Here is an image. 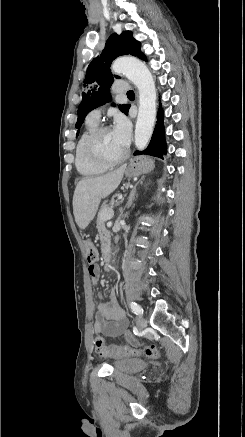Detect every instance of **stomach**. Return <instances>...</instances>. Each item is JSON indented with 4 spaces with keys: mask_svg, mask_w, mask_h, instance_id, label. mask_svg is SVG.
<instances>
[{
    "mask_svg": "<svg viewBox=\"0 0 245 437\" xmlns=\"http://www.w3.org/2000/svg\"><path fill=\"white\" fill-rule=\"evenodd\" d=\"M153 169V162L146 157H137L130 161L125 170L127 178H134L141 174L148 173Z\"/></svg>",
    "mask_w": 245,
    "mask_h": 437,
    "instance_id": "0dacf381",
    "label": "stomach"
}]
</instances>
